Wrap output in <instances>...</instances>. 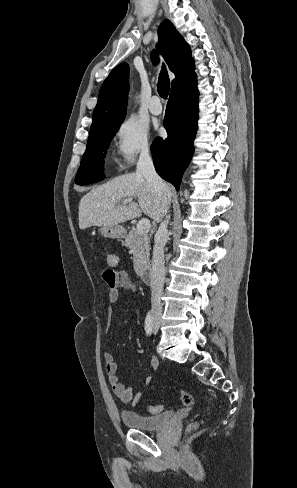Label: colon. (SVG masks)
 <instances>
[{
	"mask_svg": "<svg viewBox=\"0 0 297 488\" xmlns=\"http://www.w3.org/2000/svg\"><path fill=\"white\" fill-rule=\"evenodd\" d=\"M114 271L111 269V268H106L103 273H102V277H103V280L105 281V283L107 284V286H112L113 283H114ZM180 398H181V402L183 405L185 406H191L194 404V397L182 390L180 392ZM163 410V406L162 405H151L148 407V411L151 413V414H156V413H159Z\"/></svg>",
	"mask_w": 297,
	"mask_h": 488,
	"instance_id": "5ec220e1",
	"label": "colon"
}]
</instances>
